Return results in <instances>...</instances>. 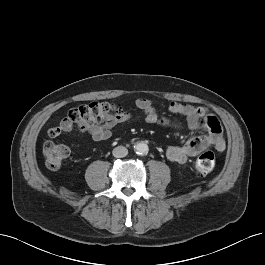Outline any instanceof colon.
I'll list each match as a JSON object with an SVG mask.
<instances>
[{
    "instance_id": "obj_1",
    "label": "colon",
    "mask_w": 265,
    "mask_h": 265,
    "mask_svg": "<svg viewBox=\"0 0 265 265\" xmlns=\"http://www.w3.org/2000/svg\"><path fill=\"white\" fill-rule=\"evenodd\" d=\"M119 113L120 108L109 102H93L80 105L72 108L58 126L51 127L48 130V135L51 138H56L75 127L85 130L102 120L116 119ZM209 123L211 133L219 134L221 132L220 123L215 118H211ZM69 154L70 150L64 144L48 141L43 147L45 164L49 169L61 167ZM215 162V154L212 151H206L198 156L195 166L199 173L206 175L214 170Z\"/></svg>"
}]
</instances>
